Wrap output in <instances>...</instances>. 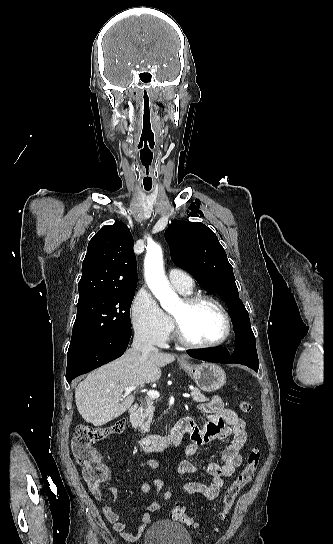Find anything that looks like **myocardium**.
<instances>
[{"mask_svg": "<svg viewBox=\"0 0 333 544\" xmlns=\"http://www.w3.org/2000/svg\"><path fill=\"white\" fill-rule=\"evenodd\" d=\"M182 302L184 306L189 310L194 309L201 303L210 302L218 307L225 321V331L221 338L210 343H197L188 337L181 322L175 316H173L175 335L177 340L182 345L189 348H194V349H209V348L220 346L229 339L231 335V331H232V321L226 306L220 299L212 295L196 294V295L186 296Z\"/></svg>", "mask_w": 333, "mask_h": 544, "instance_id": "1", "label": "myocardium"}]
</instances>
